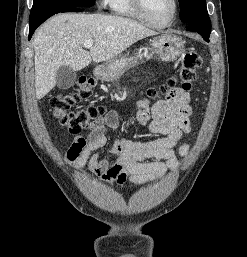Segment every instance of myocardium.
<instances>
[{"instance_id":"f54148a6","label":"myocardium","mask_w":247,"mask_h":257,"mask_svg":"<svg viewBox=\"0 0 247 257\" xmlns=\"http://www.w3.org/2000/svg\"><path fill=\"white\" fill-rule=\"evenodd\" d=\"M131 1H132V5H133L135 11L137 12V14L139 15L140 19L148 26L157 28V29H162V28H166V27L170 26L172 24V22L174 21L176 15H177V12H178V8H179L178 0H173V12H172L171 17L169 18V20L166 23L157 24V23L153 22L147 16L145 9H144L143 0H131Z\"/></svg>"}]
</instances>
